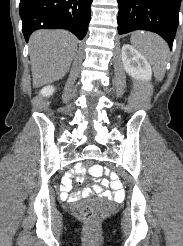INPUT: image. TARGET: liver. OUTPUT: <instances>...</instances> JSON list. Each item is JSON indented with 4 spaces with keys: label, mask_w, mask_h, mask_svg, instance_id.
I'll return each mask as SVG.
<instances>
[{
    "label": "liver",
    "mask_w": 183,
    "mask_h": 246,
    "mask_svg": "<svg viewBox=\"0 0 183 246\" xmlns=\"http://www.w3.org/2000/svg\"><path fill=\"white\" fill-rule=\"evenodd\" d=\"M76 37L62 30H38L30 37L33 87L60 80L69 71L77 51Z\"/></svg>",
    "instance_id": "liver-1"
}]
</instances>
